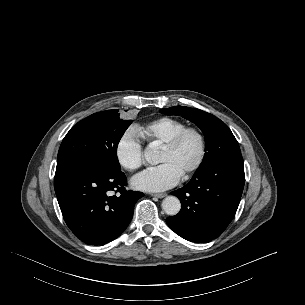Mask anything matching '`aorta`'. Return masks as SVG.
<instances>
[{
	"label": "aorta",
	"instance_id": "obj_1",
	"mask_svg": "<svg viewBox=\"0 0 305 305\" xmlns=\"http://www.w3.org/2000/svg\"><path fill=\"white\" fill-rule=\"evenodd\" d=\"M144 157L150 164H157L159 162V152L157 150L150 149L145 151ZM162 209L167 215L174 216L181 209L180 200L175 196H168L162 201Z\"/></svg>",
	"mask_w": 305,
	"mask_h": 305
}]
</instances>
